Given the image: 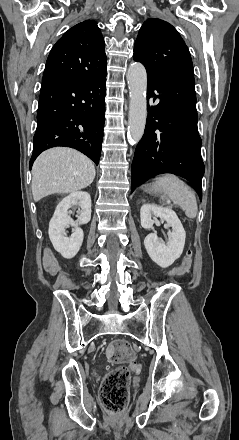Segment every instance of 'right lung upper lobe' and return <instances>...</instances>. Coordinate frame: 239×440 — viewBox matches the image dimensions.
<instances>
[{"label": "right lung upper lobe", "instance_id": "cb5924a9", "mask_svg": "<svg viewBox=\"0 0 239 440\" xmlns=\"http://www.w3.org/2000/svg\"><path fill=\"white\" fill-rule=\"evenodd\" d=\"M104 39L93 20L69 29L48 56L42 84L91 78L106 71Z\"/></svg>", "mask_w": 239, "mask_h": 440}]
</instances>
